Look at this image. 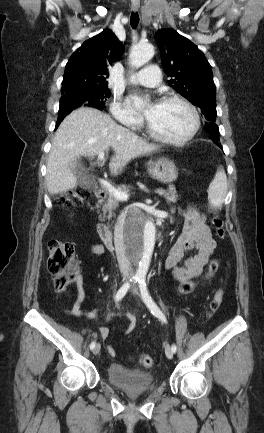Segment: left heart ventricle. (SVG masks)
Returning a JSON list of instances; mask_svg holds the SVG:
<instances>
[{"label": "left heart ventricle", "mask_w": 264, "mask_h": 433, "mask_svg": "<svg viewBox=\"0 0 264 433\" xmlns=\"http://www.w3.org/2000/svg\"><path fill=\"white\" fill-rule=\"evenodd\" d=\"M148 121L159 134L177 139L190 131L193 119L190 111L181 104L159 103Z\"/></svg>", "instance_id": "left-heart-ventricle-1"}]
</instances>
